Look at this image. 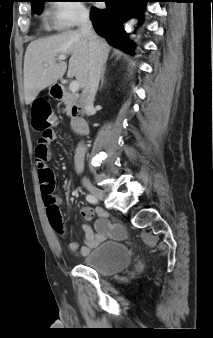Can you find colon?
Returning a JSON list of instances; mask_svg holds the SVG:
<instances>
[{
    "mask_svg": "<svg viewBox=\"0 0 213 338\" xmlns=\"http://www.w3.org/2000/svg\"><path fill=\"white\" fill-rule=\"evenodd\" d=\"M33 118L32 126L39 131L42 136H51L53 133V125L56 122V117L53 114L49 103L41 98L34 100L32 104ZM39 182L44 205L50 209L49 221L53 227H58L62 223L60 211L54 207V174L47 165H39Z\"/></svg>",
    "mask_w": 213,
    "mask_h": 338,
    "instance_id": "5ec220e1",
    "label": "colon"
}]
</instances>
